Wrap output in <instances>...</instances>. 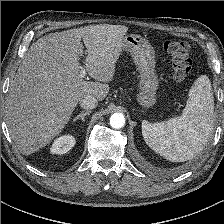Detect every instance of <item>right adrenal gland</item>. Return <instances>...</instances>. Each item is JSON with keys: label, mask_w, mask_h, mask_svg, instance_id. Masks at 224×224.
I'll return each mask as SVG.
<instances>
[{"label": "right adrenal gland", "mask_w": 224, "mask_h": 224, "mask_svg": "<svg viewBox=\"0 0 224 224\" xmlns=\"http://www.w3.org/2000/svg\"><path fill=\"white\" fill-rule=\"evenodd\" d=\"M91 113V111H87V112H81L79 115H77L74 119L73 122L77 121L78 119H81L83 122L85 121V116L89 115Z\"/></svg>", "instance_id": "2a0ac1e0"}]
</instances>
